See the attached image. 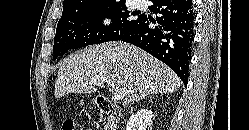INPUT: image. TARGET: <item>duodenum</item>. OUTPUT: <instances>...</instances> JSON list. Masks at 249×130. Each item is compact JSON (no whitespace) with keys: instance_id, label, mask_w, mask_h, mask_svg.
<instances>
[{"instance_id":"1","label":"duodenum","mask_w":249,"mask_h":130,"mask_svg":"<svg viewBox=\"0 0 249 130\" xmlns=\"http://www.w3.org/2000/svg\"><path fill=\"white\" fill-rule=\"evenodd\" d=\"M96 102L99 111L108 117L106 130H116L121 116V108L105 96H99Z\"/></svg>"}]
</instances>
